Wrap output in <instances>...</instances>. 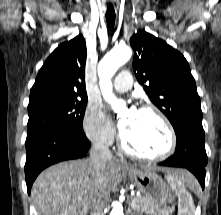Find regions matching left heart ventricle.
<instances>
[{
  "label": "left heart ventricle",
  "instance_id": "b2bd125f",
  "mask_svg": "<svg viewBox=\"0 0 221 215\" xmlns=\"http://www.w3.org/2000/svg\"><path fill=\"white\" fill-rule=\"evenodd\" d=\"M122 135L129 149L143 155H158L168 145V136L162 122L151 112L137 111Z\"/></svg>",
  "mask_w": 221,
  "mask_h": 215
}]
</instances>
